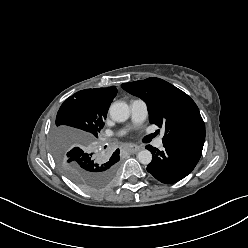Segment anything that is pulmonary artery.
Instances as JSON below:
<instances>
[{"instance_id": "e3ab8cb5", "label": "pulmonary artery", "mask_w": 248, "mask_h": 248, "mask_svg": "<svg viewBox=\"0 0 248 248\" xmlns=\"http://www.w3.org/2000/svg\"><path fill=\"white\" fill-rule=\"evenodd\" d=\"M130 111H131V119L134 123L143 122L148 115L147 104L143 100H140V99L131 101ZM155 145L158 148H161L163 145L162 139L161 138L157 139Z\"/></svg>"}]
</instances>
